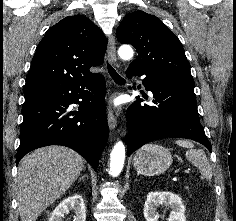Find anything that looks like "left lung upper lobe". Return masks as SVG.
I'll list each match as a JSON object with an SVG mask.
<instances>
[{"label":"left lung upper lobe","instance_id":"left-lung-upper-lobe-1","mask_svg":"<svg viewBox=\"0 0 236 221\" xmlns=\"http://www.w3.org/2000/svg\"><path fill=\"white\" fill-rule=\"evenodd\" d=\"M116 36L120 43L136 48L137 59L129 67L194 87L183 46L156 16L140 10L127 14L117 28Z\"/></svg>","mask_w":236,"mask_h":221}]
</instances>
